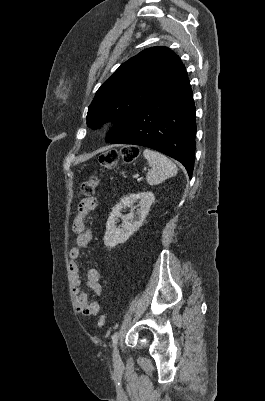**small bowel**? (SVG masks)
<instances>
[{"label":"small bowel","mask_w":265,"mask_h":401,"mask_svg":"<svg viewBox=\"0 0 265 401\" xmlns=\"http://www.w3.org/2000/svg\"><path fill=\"white\" fill-rule=\"evenodd\" d=\"M97 199L92 196L85 198L78 204L77 215L73 221L72 229L77 235L75 244L69 251L70 256V277L71 289L77 311L84 317L96 315L100 306L96 301H90L87 294L81 287V277L77 260L80 257L81 249L86 247L92 239V232L86 228L85 217L97 208ZM86 285L96 295L101 296L103 287L101 285L100 272L90 268L86 274Z\"/></svg>","instance_id":"obj_1"}]
</instances>
